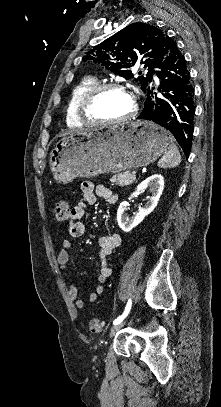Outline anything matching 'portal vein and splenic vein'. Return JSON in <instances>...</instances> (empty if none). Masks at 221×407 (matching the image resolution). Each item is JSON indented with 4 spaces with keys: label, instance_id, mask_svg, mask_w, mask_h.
I'll return each mask as SVG.
<instances>
[{
    "label": "portal vein and splenic vein",
    "instance_id": "18ae733b",
    "mask_svg": "<svg viewBox=\"0 0 221 407\" xmlns=\"http://www.w3.org/2000/svg\"><path fill=\"white\" fill-rule=\"evenodd\" d=\"M136 173H137L136 171H133V172H132V175H134V176H135V175H136Z\"/></svg>",
    "mask_w": 221,
    "mask_h": 407
}]
</instances>
